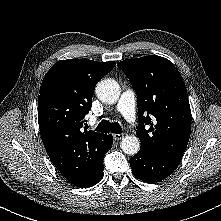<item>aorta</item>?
<instances>
[{"label": "aorta", "mask_w": 221, "mask_h": 221, "mask_svg": "<svg viewBox=\"0 0 221 221\" xmlns=\"http://www.w3.org/2000/svg\"><path fill=\"white\" fill-rule=\"evenodd\" d=\"M99 100L106 104H114L120 97L119 84L113 79L101 80L95 89ZM121 149L127 155H135L140 149V141L134 135H126L122 138Z\"/></svg>", "instance_id": "aorta-1"}]
</instances>
